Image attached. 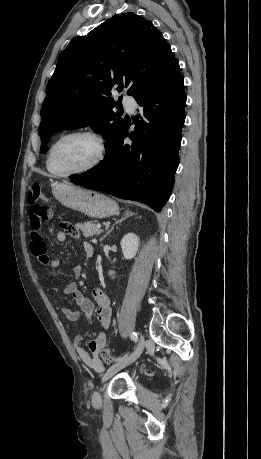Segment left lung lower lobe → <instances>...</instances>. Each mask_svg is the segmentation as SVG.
<instances>
[{
	"label": "left lung lower lobe",
	"mask_w": 261,
	"mask_h": 459,
	"mask_svg": "<svg viewBox=\"0 0 261 459\" xmlns=\"http://www.w3.org/2000/svg\"><path fill=\"white\" fill-rule=\"evenodd\" d=\"M135 100V131L124 129L103 161L70 181L118 198L140 201L159 212L171 194L179 164L185 121L184 80L176 60L169 70ZM129 137L130 144L124 143Z\"/></svg>",
	"instance_id": "left-lung-lower-lobe-1"
}]
</instances>
